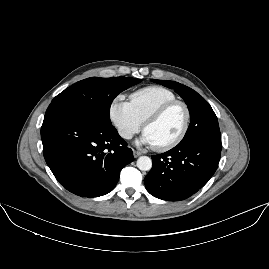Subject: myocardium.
I'll list each match as a JSON object with an SVG mask.
<instances>
[{
  "label": "myocardium",
  "instance_id": "1",
  "mask_svg": "<svg viewBox=\"0 0 269 269\" xmlns=\"http://www.w3.org/2000/svg\"><path fill=\"white\" fill-rule=\"evenodd\" d=\"M174 106H180L185 113V121H184L183 128H182L180 134L171 142H169L163 146H154L155 150L158 152L169 151V150L173 149L174 147H176L177 145H179L184 140V138L186 137V135L188 133L189 127H190V121H191L190 109H189L188 105L183 101H179V100L169 101L167 103L162 104L161 106L154 109L153 111H151L147 115V117L145 118V120L143 122V132L145 133L146 126L151 121L160 117L161 115H163L165 112H167L169 109H171Z\"/></svg>",
  "mask_w": 269,
  "mask_h": 269
}]
</instances>
